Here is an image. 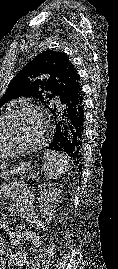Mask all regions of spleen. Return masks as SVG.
Wrapping results in <instances>:
<instances>
[{
  "instance_id": "3e777b00",
  "label": "spleen",
  "mask_w": 118,
  "mask_h": 269,
  "mask_svg": "<svg viewBox=\"0 0 118 269\" xmlns=\"http://www.w3.org/2000/svg\"><path fill=\"white\" fill-rule=\"evenodd\" d=\"M44 164L42 170L48 179H57L68 171L67 155L56 151L47 150L44 152Z\"/></svg>"
}]
</instances>
